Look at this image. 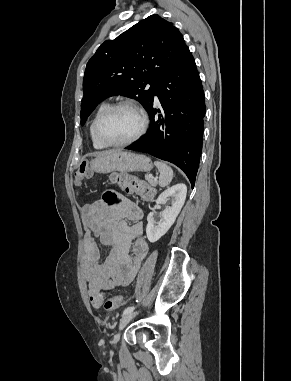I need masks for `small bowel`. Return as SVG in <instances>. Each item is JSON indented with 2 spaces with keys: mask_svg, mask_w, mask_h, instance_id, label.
Segmentation results:
<instances>
[{
  "mask_svg": "<svg viewBox=\"0 0 291 381\" xmlns=\"http://www.w3.org/2000/svg\"><path fill=\"white\" fill-rule=\"evenodd\" d=\"M81 214L85 230L82 271L90 302L98 308L103 302L100 292L131 283L148 253V244L142 237L143 212L127 199L115 203L107 198L84 205ZM96 238L109 247L103 262Z\"/></svg>",
  "mask_w": 291,
  "mask_h": 381,
  "instance_id": "obj_1",
  "label": "small bowel"
}]
</instances>
